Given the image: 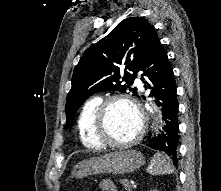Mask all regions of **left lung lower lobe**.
<instances>
[{
  "label": "left lung lower lobe",
  "instance_id": "left-lung-lower-lobe-1",
  "mask_svg": "<svg viewBox=\"0 0 221 191\" xmlns=\"http://www.w3.org/2000/svg\"><path fill=\"white\" fill-rule=\"evenodd\" d=\"M141 71L143 76L148 77V80L141 77L145 87L151 88L149 82L155 86L150 96L154 95L158 98L156 102L161 106L164 120L163 131L156 138L151 139L149 146L167 155L175 163L179 145L176 86L167 53L158 38L152 42Z\"/></svg>",
  "mask_w": 221,
  "mask_h": 191
}]
</instances>
